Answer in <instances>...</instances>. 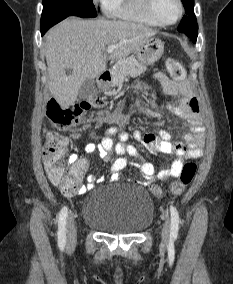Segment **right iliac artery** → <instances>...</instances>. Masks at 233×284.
Listing matches in <instances>:
<instances>
[{
	"mask_svg": "<svg viewBox=\"0 0 233 284\" xmlns=\"http://www.w3.org/2000/svg\"><path fill=\"white\" fill-rule=\"evenodd\" d=\"M68 208L64 206L58 218V245L60 249H63L66 244V218H67Z\"/></svg>",
	"mask_w": 233,
	"mask_h": 284,
	"instance_id": "obj_1",
	"label": "right iliac artery"
}]
</instances>
